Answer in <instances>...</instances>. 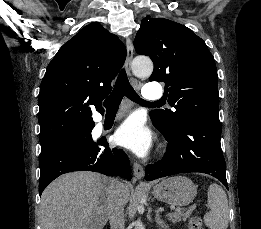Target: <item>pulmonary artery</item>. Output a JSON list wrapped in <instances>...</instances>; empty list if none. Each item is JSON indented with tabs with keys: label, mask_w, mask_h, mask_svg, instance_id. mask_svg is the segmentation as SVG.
I'll list each match as a JSON object with an SVG mask.
<instances>
[{
	"label": "pulmonary artery",
	"mask_w": 261,
	"mask_h": 229,
	"mask_svg": "<svg viewBox=\"0 0 261 229\" xmlns=\"http://www.w3.org/2000/svg\"><path fill=\"white\" fill-rule=\"evenodd\" d=\"M143 97L147 99H159L163 93L161 84H147L143 86Z\"/></svg>",
	"instance_id": "pulmonary-artery-1"
}]
</instances>
